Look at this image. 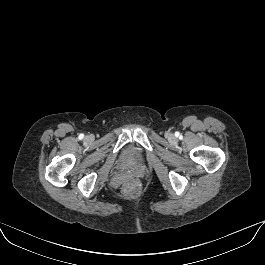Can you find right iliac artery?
Segmentation results:
<instances>
[{
  "mask_svg": "<svg viewBox=\"0 0 265 265\" xmlns=\"http://www.w3.org/2000/svg\"><path fill=\"white\" fill-rule=\"evenodd\" d=\"M84 135L83 134H80L79 135V139H83Z\"/></svg>",
  "mask_w": 265,
  "mask_h": 265,
  "instance_id": "right-iliac-artery-1",
  "label": "right iliac artery"
}]
</instances>
